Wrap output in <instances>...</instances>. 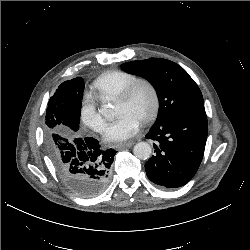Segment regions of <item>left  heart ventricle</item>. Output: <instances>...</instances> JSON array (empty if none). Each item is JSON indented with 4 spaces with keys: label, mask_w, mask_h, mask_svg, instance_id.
Instances as JSON below:
<instances>
[{
    "label": "left heart ventricle",
    "mask_w": 250,
    "mask_h": 250,
    "mask_svg": "<svg viewBox=\"0 0 250 250\" xmlns=\"http://www.w3.org/2000/svg\"><path fill=\"white\" fill-rule=\"evenodd\" d=\"M151 95L147 88L139 87L131 99L126 102L117 101V114L122 115L124 113H130L139 118L142 117L149 111L151 107Z\"/></svg>",
    "instance_id": "left-heart-ventricle-1"
}]
</instances>
